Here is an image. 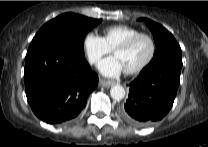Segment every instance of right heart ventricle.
Returning <instances> with one entry per match:
<instances>
[{"instance_id": "e07e8e85", "label": "right heart ventricle", "mask_w": 208, "mask_h": 147, "mask_svg": "<svg viewBox=\"0 0 208 147\" xmlns=\"http://www.w3.org/2000/svg\"><path fill=\"white\" fill-rule=\"evenodd\" d=\"M140 33L137 28L128 25H115L104 30L103 38L111 50L127 40L128 38Z\"/></svg>"}]
</instances>
